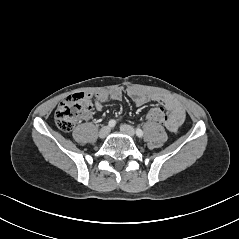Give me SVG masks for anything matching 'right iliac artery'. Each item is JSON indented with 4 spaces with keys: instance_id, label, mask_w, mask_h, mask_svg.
I'll list each match as a JSON object with an SVG mask.
<instances>
[{
    "instance_id": "82829eb1",
    "label": "right iliac artery",
    "mask_w": 239,
    "mask_h": 239,
    "mask_svg": "<svg viewBox=\"0 0 239 239\" xmlns=\"http://www.w3.org/2000/svg\"><path fill=\"white\" fill-rule=\"evenodd\" d=\"M115 124H116V122L113 119L108 122V126L111 127V128L114 127Z\"/></svg>"
}]
</instances>
